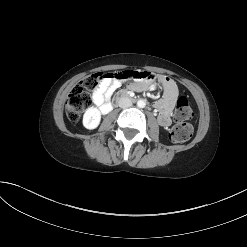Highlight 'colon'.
<instances>
[{"instance_id": "5ec220e1", "label": "colon", "mask_w": 247, "mask_h": 247, "mask_svg": "<svg viewBox=\"0 0 247 247\" xmlns=\"http://www.w3.org/2000/svg\"><path fill=\"white\" fill-rule=\"evenodd\" d=\"M109 74L95 73L89 75L76 85L67 100L66 113L68 119L75 123L77 122L82 112L91 104L90 91L95 90L100 82ZM193 116V111L185 97H180L177 100L176 108L174 111V118L176 125L170 132V139L175 143H183L192 135V126L186 122Z\"/></svg>"}]
</instances>
